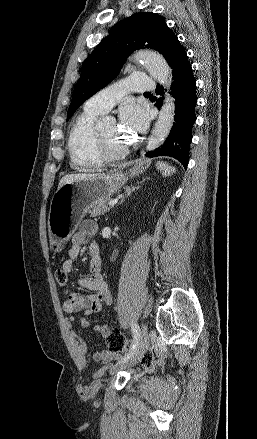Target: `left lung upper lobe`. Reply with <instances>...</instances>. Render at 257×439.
<instances>
[{
    "label": "left lung upper lobe",
    "instance_id": "5c2ea615",
    "mask_svg": "<svg viewBox=\"0 0 257 439\" xmlns=\"http://www.w3.org/2000/svg\"><path fill=\"white\" fill-rule=\"evenodd\" d=\"M176 39L163 18L151 12L136 13L115 24L83 63L67 120L82 103L118 75L130 53L140 48H152L167 60Z\"/></svg>",
    "mask_w": 257,
    "mask_h": 439
}]
</instances>
